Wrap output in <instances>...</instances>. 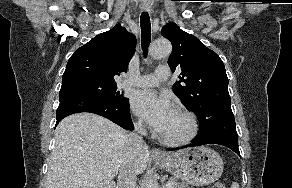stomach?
<instances>
[{
	"instance_id": "obj_1",
	"label": "stomach",
	"mask_w": 292,
	"mask_h": 188,
	"mask_svg": "<svg viewBox=\"0 0 292 188\" xmlns=\"http://www.w3.org/2000/svg\"><path fill=\"white\" fill-rule=\"evenodd\" d=\"M163 169L183 182L204 186L216 181L222 174L224 163L221 156L205 146L186 148L165 159H154Z\"/></svg>"
}]
</instances>
